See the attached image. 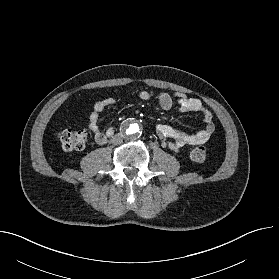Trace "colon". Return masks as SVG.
I'll return each instance as SVG.
<instances>
[{
    "instance_id": "5ec220e1",
    "label": "colon",
    "mask_w": 279,
    "mask_h": 279,
    "mask_svg": "<svg viewBox=\"0 0 279 279\" xmlns=\"http://www.w3.org/2000/svg\"><path fill=\"white\" fill-rule=\"evenodd\" d=\"M57 139L66 151L81 150L87 144L88 132L84 129H63L57 133ZM190 156L193 161L202 162L207 157V149L204 146H198L192 150Z\"/></svg>"
}]
</instances>
